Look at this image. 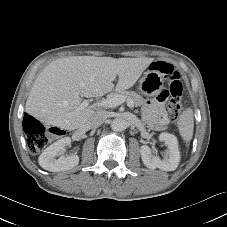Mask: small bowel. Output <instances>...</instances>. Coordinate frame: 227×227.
Returning a JSON list of instances; mask_svg holds the SVG:
<instances>
[{
    "label": "small bowel",
    "instance_id": "1",
    "mask_svg": "<svg viewBox=\"0 0 227 227\" xmlns=\"http://www.w3.org/2000/svg\"><path fill=\"white\" fill-rule=\"evenodd\" d=\"M170 97L171 92L168 89H163L156 94L155 100H149L147 102L148 115L153 122L159 125H165L168 122L164 103H167Z\"/></svg>",
    "mask_w": 227,
    "mask_h": 227
}]
</instances>
